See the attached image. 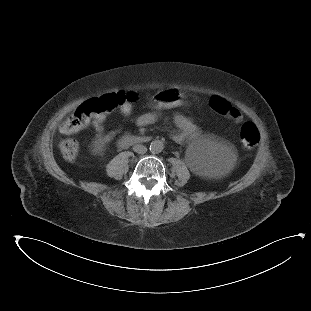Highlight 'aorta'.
<instances>
[{
    "label": "aorta",
    "mask_w": 311,
    "mask_h": 311,
    "mask_svg": "<svg viewBox=\"0 0 311 311\" xmlns=\"http://www.w3.org/2000/svg\"><path fill=\"white\" fill-rule=\"evenodd\" d=\"M163 150V144L159 140H155L150 145V151L152 153H159Z\"/></svg>",
    "instance_id": "aorta-1"
}]
</instances>
